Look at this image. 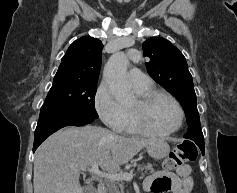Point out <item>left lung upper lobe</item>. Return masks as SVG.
Returning <instances> with one entry per match:
<instances>
[{"label":"left lung upper lobe","mask_w":237,"mask_h":193,"mask_svg":"<svg viewBox=\"0 0 237 193\" xmlns=\"http://www.w3.org/2000/svg\"><path fill=\"white\" fill-rule=\"evenodd\" d=\"M150 76L167 89L182 105L187 118L188 132L185 138L204 148V137L196 106V94L192 76L182 53L162 37L147 39L143 45Z\"/></svg>","instance_id":"1"}]
</instances>
